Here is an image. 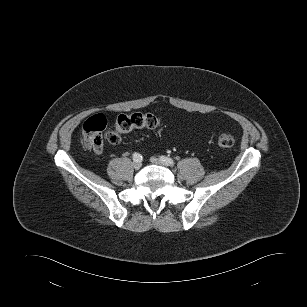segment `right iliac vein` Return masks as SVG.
Segmentation results:
<instances>
[{
    "label": "right iliac vein",
    "instance_id": "obj_1",
    "mask_svg": "<svg viewBox=\"0 0 307 307\" xmlns=\"http://www.w3.org/2000/svg\"><path fill=\"white\" fill-rule=\"evenodd\" d=\"M141 166H142L141 161H134L133 162V167H134L135 170H139L141 168Z\"/></svg>",
    "mask_w": 307,
    "mask_h": 307
}]
</instances>
